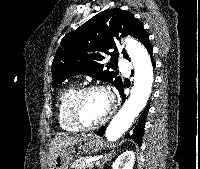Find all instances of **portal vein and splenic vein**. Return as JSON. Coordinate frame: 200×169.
I'll list each match as a JSON object with an SVG mask.
<instances>
[{"mask_svg": "<svg viewBox=\"0 0 200 169\" xmlns=\"http://www.w3.org/2000/svg\"><path fill=\"white\" fill-rule=\"evenodd\" d=\"M89 162H93V160H90ZM94 162L96 163V164H99V160H94Z\"/></svg>", "mask_w": 200, "mask_h": 169, "instance_id": "portal-vein-and-splenic-vein-1", "label": "portal vein and splenic vein"}]
</instances>
